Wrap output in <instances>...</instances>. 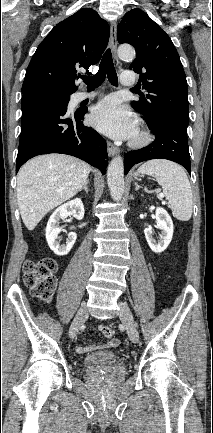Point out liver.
<instances>
[{"mask_svg":"<svg viewBox=\"0 0 213 433\" xmlns=\"http://www.w3.org/2000/svg\"><path fill=\"white\" fill-rule=\"evenodd\" d=\"M88 163L65 154L40 155L17 175V202L28 230L52 209L75 196L87 181Z\"/></svg>","mask_w":213,"mask_h":433,"instance_id":"6515ba94","label":"liver"}]
</instances>
